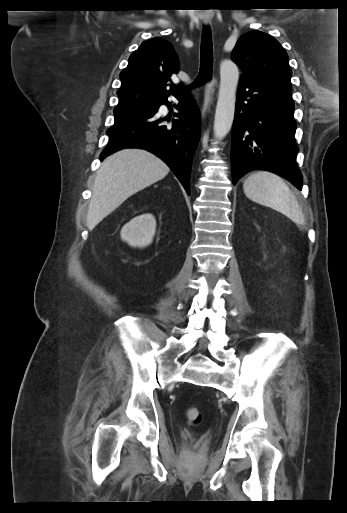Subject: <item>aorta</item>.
I'll list each match as a JSON object with an SVG mask.
<instances>
[{"mask_svg": "<svg viewBox=\"0 0 347 513\" xmlns=\"http://www.w3.org/2000/svg\"><path fill=\"white\" fill-rule=\"evenodd\" d=\"M238 81V66L230 60L222 61L220 64V84L213 128L214 136L218 140H222L232 127Z\"/></svg>", "mask_w": 347, "mask_h": 513, "instance_id": "762f6f07", "label": "aorta"}]
</instances>
